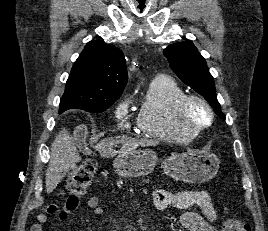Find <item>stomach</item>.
Returning <instances> with one entry per match:
<instances>
[{
    "mask_svg": "<svg viewBox=\"0 0 268 231\" xmlns=\"http://www.w3.org/2000/svg\"><path fill=\"white\" fill-rule=\"evenodd\" d=\"M157 155L151 149H136L120 152L114 160L117 173L125 178L150 174L157 163ZM219 160L214 154L196 151L173 153L161 165L163 173L171 178L188 183H203L218 172Z\"/></svg>",
    "mask_w": 268,
    "mask_h": 231,
    "instance_id": "obj_1",
    "label": "stomach"
}]
</instances>
